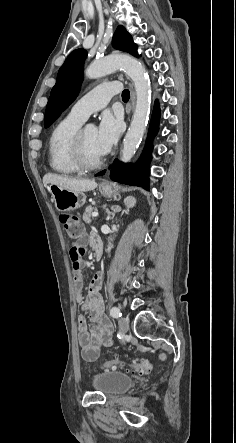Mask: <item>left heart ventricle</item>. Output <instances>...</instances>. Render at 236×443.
Masks as SVG:
<instances>
[{
  "label": "left heart ventricle",
  "mask_w": 236,
  "mask_h": 443,
  "mask_svg": "<svg viewBox=\"0 0 236 443\" xmlns=\"http://www.w3.org/2000/svg\"><path fill=\"white\" fill-rule=\"evenodd\" d=\"M84 151L88 160H94L101 156L96 139V128L92 125L86 126L83 135Z\"/></svg>",
  "instance_id": "1"
}]
</instances>
